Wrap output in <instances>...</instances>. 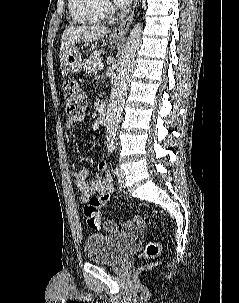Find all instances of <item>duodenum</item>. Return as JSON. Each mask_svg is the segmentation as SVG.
<instances>
[{"label": "duodenum", "instance_id": "1", "mask_svg": "<svg viewBox=\"0 0 239 303\" xmlns=\"http://www.w3.org/2000/svg\"><path fill=\"white\" fill-rule=\"evenodd\" d=\"M106 122V111L101 109L99 112H98V123L100 125H104Z\"/></svg>", "mask_w": 239, "mask_h": 303}]
</instances>
